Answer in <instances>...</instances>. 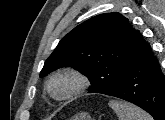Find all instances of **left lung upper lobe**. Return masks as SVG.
<instances>
[{
    "mask_svg": "<svg viewBox=\"0 0 165 120\" xmlns=\"http://www.w3.org/2000/svg\"><path fill=\"white\" fill-rule=\"evenodd\" d=\"M141 39V33L121 14L97 15L60 40L40 77L61 67H73L90 80V93L107 95L121 84L129 58Z\"/></svg>",
    "mask_w": 165,
    "mask_h": 120,
    "instance_id": "obj_1",
    "label": "left lung upper lobe"
}]
</instances>
